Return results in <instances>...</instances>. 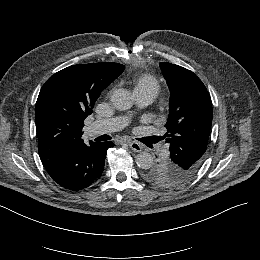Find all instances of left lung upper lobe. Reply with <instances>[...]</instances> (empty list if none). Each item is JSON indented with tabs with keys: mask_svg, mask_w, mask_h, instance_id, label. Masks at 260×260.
I'll list each match as a JSON object with an SVG mask.
<instances>
[{
	"mask_svg": "<svg viewBox=\"0 0 260 260\" xmlns=\"http://www.w3.org/2000/svg\"><path fill=\"white\" fill-rule=\"evenodd\" d=\"M160 68L171 93L164 136L170 143V158L147 167L143 177L155 186L169 188L190 179L202 165L212 124V102L192 71L167 62H161Z\"/></svg>",
	"mask_w": 260,
	"mask_h": 260,
	"instance_id": "5c2ea615",
	"label": "left lung upper lobe"
}]
</instances>
